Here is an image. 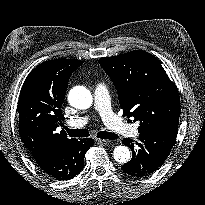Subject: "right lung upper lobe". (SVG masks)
Segmentation results:
<instances>
[{"label": "right lung upper lobe", "mask_w": 205, "mask_h": 205, "mask_svg": "<svg viewBox=\"0 0 205 205\" xmlns=\"http://www.w3.org/2000/svg\"><path fill=\"white\" fill-rule=\"evenodd\" d=\"M82 64L74 59L49 60L36 66L23 83L17 106L19 133L35 161L75 140L56 128L64 119L60 108L69 77Z\"/></svg>", "instance_id": "1"}]
</instances>
